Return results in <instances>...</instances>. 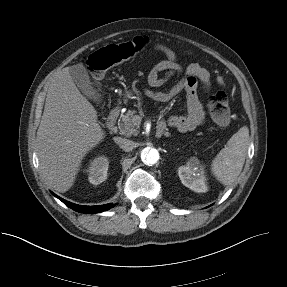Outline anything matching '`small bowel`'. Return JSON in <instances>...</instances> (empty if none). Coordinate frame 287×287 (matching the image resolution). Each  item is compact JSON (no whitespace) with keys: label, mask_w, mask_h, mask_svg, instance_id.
I'll use <instances>...</instances> for the list:
<instances>
[{"label":"small bowel","mask_w":287,"mask_h":287,"mask_svg":"<svg viewBox=\"0 0 287 287\" xmlns=\"http://www.w3.org/2000/svg\"><path fill=\"white\" fill-rule=\"evenodd\" d=\"M155 49L165 55V59L158 62L149 72L147 83L149 87L156 88L165 85L173 77H180L179 81L168 91H153L145 88V94L156 104H164L176 97L181 92L186 93V112L181 116H169L167 123L181 132L194 130L202 124L205 117L203 104L198 97V88L201 86L208 90L211 83L209 71L199 63H191L184 68L177 59L176 53L166 45L157 44ZM220 86L224 85L222 77L217 78ZM159 126L165 128L162 120Z\"/></svg>","instance_id":"small-bowel-1"}]
</instances>
